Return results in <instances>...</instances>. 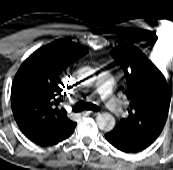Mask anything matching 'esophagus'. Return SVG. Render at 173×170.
I'll list each match as a JSON object with an SVG mask.
<instances>
[{
  "mask_svg": "<svg viewBox=\"0 0 173 170\" xmlns=\"http://www.w3.org/2000/svg\"><path fill=\"white\" fill-rule=\"evenodd\" d=\"M83 114L85 116H90V115L97 116V115H99V112H95V111H84Z\"/></svg>",
  "mask_w": 173,
  "mask_h": 170,
  "instance_id": "34e87169",
  "label": "esophagus"
}]
</instances>
